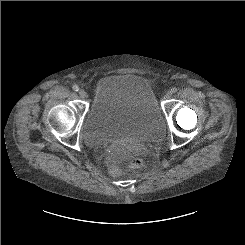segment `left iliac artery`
<instances>
[{
	"label": "left iliac artery",
	"instance_id": "1",
	"mask_svg": "<svg viewBox=\"0 0 245 245\" xmlns=\"http://www.w3.org/2000/svg\"><path fill=\"white\" fill-rule=\"evenodd\" d=\"M177 91H178L177 87H173V88L171 89V92H172V93H176Z\"/></svg>",
	"mask_w": 245,
	"mask_h": 245
}]
</instances>
